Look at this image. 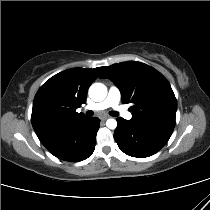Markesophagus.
<instances>
[{
    "instance_id": "34e87169",
    "label": "esophagus",
    "mask_w": 210,
    "mask_h": 210,
    "mask_svg": "<svg viewBox=\"0 0 210 210\" xmlns=\"http://www.w3.org/2000/svg\"><path fill=\"white\" fill-rule=\"evenodd\" d=\"M108 118H109V116H107V115L101 116V120H102V121H105V120H107Z\"/></svg>"
}]
</instances>
